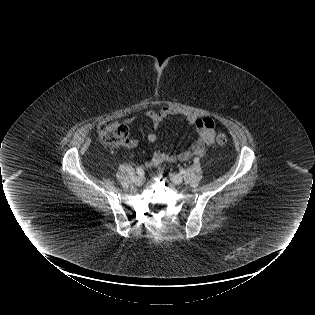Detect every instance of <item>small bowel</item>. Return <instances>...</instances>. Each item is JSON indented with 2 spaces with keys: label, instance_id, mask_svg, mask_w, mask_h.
<instances>
[{
  "label": "small bowel",
  "instance_id": "obj_1",
  "mask_svg": "<svg viewBox=\"0 0 315 315\" xmlns=\"http://www.w3.org/2000/svg\"><path fill=\"white\" fill-rule=\"evenodd\" d=\"M177 115V112L168 107H162L156 111H147L143 116L148 119L153 125V131L147 135V140L150 143H155L158 139V130L163 121L170 119ZM186 121L192 125L197 132V140L186 150L180 153L164 152L162 150H156L151 159L146 163L147 167H155L163 162H176L187 161L195 157H203L208 148L213 144L215 138V122L211 118H197L192 115L185 117ZM135 120V117H131L126 120V123H131ZM136 139H128L126 146L133 148L137 146Z\"/></svg>",
  "mask_w": 315,
  "mask_h": 315
}]
</instances>
